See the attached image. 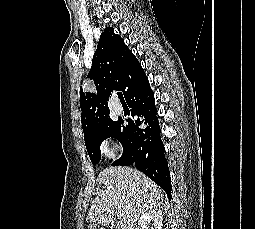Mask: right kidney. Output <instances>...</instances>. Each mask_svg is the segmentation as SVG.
<instances>
[{"label": "right kidney", "instance_id": "right-kidney-1", "mask_svg": "<svg viewBox=\"0 0 255 229\" xmlns=\"http://www.w3.org/2000/svg\"><path fill=\"white\" fill-rule=\"evenodd\" d=\"M162 220V210L160 208H154L140 217L135 229H148V224L151 221H153L151 229H162Z\"/></svg>", "mask_w": 255, "mask_h": 229}]
</instances>
